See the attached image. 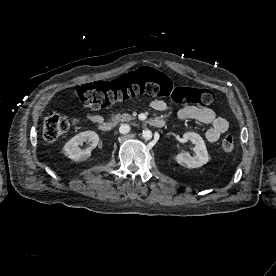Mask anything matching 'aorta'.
Here are the masks:
<instances>
[{
	"label": "aorta",
	"mask_w": 276,
	"mask_h": 276,
	"mask_svg": "<svg viewBox=\"0 0 276 276\" xmlns=\"http://www.w3.org/2000/svg\"><path fill=\"white\" fill-rule=\"evenodd\" d=\"M152 132L150 130H143L142 132V137L145 139V140H150L152 139Z\"/></svg>",
	"instance_id": "aorta-1"
}]
</instances>
